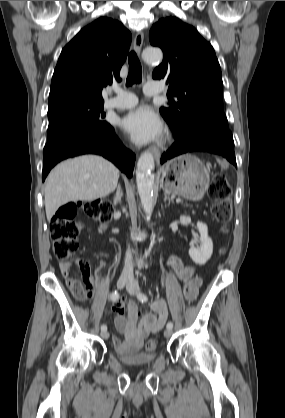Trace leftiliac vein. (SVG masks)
I'll return each mask as SVG.
<instances>
[{
  "label": "left iliac vein",
  "instance_id": "left-iliac-vein-1",
  "mask_svg": "<svg viewBox=\"0 0 285 418\" xmlns=\"http://www.w3.org/2000/svg\"><path fill=\"white\" fill-rule=\"evenodd\" d=\"M126 290L131 295H136L140 291L139 284L134 279H130L126 284ZM171 335H172V329H166L164 332V336L168 338Z\"/></svg>",
  "mask_w": 285,
  "mask_h": 418
}]
</instances>
